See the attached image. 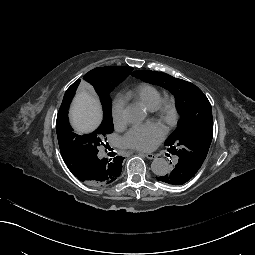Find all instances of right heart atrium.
<instances>
[{"mask_svg":"<svg viewBox=\"0 0 255 255\" xmlns=\"http://www.w3.org/2000/svg\"><path fill=\"white\" fill-rule=\"evenodd\" d=\"M111 117L114 126L122 127L125 124L124 103L121 99H116L111 108Z\"/></svg>","mask_w":255,"mask_h":255,"instance_id":"right-heart-atrium-1","label":"right heart atrium"}]
</instances>
